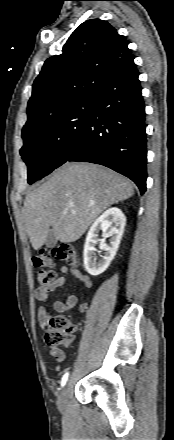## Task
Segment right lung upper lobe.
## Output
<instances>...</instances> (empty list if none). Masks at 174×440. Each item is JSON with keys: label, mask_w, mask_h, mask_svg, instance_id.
<instances>
[{"label": "right lung upper lobe", "mask_w": 174, "mask_h": 440, "mask_svg": "<svg viewBox=\"0 0 174 440\" xmlns=\"http://www.w3.org/2000/svg\"><path fill=\"white\" fill-rule=\"evenodd\" d=\"M134 57L107 21L91 19L71 34L62 54L47 59L33 84L23 130L91 97L105 80L123 71Z\"/></svg>", "instance_id": "right-lung-upper-lobe-1"}]
</instances>
